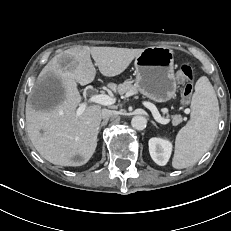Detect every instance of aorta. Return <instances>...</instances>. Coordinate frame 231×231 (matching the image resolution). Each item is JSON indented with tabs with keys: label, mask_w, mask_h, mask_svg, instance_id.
<instances>
[{
	"label": "aorta",
	"mask_w": 231,
	"mask_h": 231,
	"mask_svg": "<svg viewBox=\"0 0 231 231\" xmlns=\"http://www.w3.org/2000/svg\"><path fill=\"white\" fill-rule=\"evenodd\" d=\"M147 120L143 116H134L131 120V126L136 130H143L146 127Z\"/></svg>",
	"instance_id": "aorta-1"
}]
</instances>
